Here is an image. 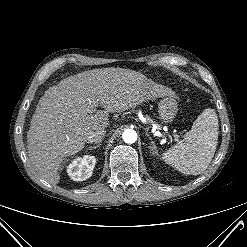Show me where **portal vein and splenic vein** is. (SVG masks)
I'll return each mask as SVG.
<instances>
[{
    "instance_id": "obj_1",
    "label": "portal vein and splenic vein",
    "mask_w": 247,
    "mask_h": 247,
    "mask_svg": "<svg viewBox=\"0 0 247 247\" xmlns=\"http://www.w3.org/2000/svg\"><path fill=\"white\" fill-rule=\"evenodd\" d=\"M93 111H94L93 109H90V112H93ZM174 137H175L176 140H178V136L177 135H175Z\"/></svg>"
}]
</instances>
